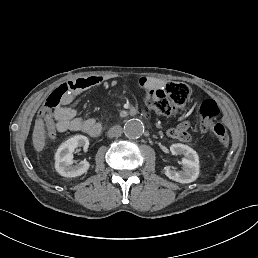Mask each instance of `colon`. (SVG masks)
<instances>
[{"mask_svg":"<svg viewBox=\"0 0 258 258\" xmlns=\"http://www.w3.org/2000/svg\"><path fill=\"white\" fill-rule=\"evenodd\" d=\"M75 86L71 82H65L55 88L48 96L47 101L41 111L43 120L50 118L53 112L68 101ZM190 88L181 82H168L160 89L151 90L147 94V104L157 115L168 116L183 107L190 97ZM200 122L198 130L207 132L211 130L223 147H227L230 138L224 124L214 122L219 114V108L212 99L204 100L198 107Z\"/></svg>","mask_w":258,"mask_h":258,"instance_id":"5ec220e1","label":"colon"}]
</instances>
